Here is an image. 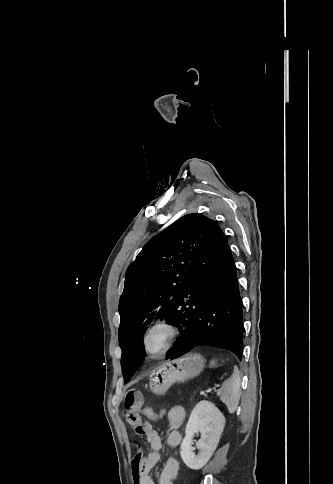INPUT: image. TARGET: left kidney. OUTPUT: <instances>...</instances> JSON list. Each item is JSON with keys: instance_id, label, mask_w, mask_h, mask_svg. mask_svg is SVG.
Instances as JSON below:
<instances>
[{"instance_id": "left-kidney-1", "label": "left kidney", "mask_w": 333, "mask_h": 484, "mask_svg": "<svg viewBox=\"0 0 333 484\" xmlns=\"http://www.w3.org/2000/svg\"><path fill=\"white\" fill-rule=\"evenodd\" d=\"M224 425L225 417L210 401H200L194 407L180 447L181 458L187 467L197 470L209 461L218 446ZM196 433H201V439L197 442V454L192 447V439Z\"/></svg>"}]
</instances>
